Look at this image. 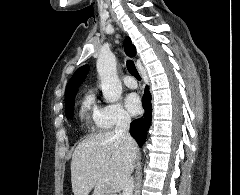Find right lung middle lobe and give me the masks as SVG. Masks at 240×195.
<instances>
[{
    "instance_id": "1",
    "label": "right lung middle lobe",
    "mask_w": 240,
    "mask_h": 195,
    "mask_svg": "<svg viewBox=\"0 0 240 195\" xmlns=\"http://www.w3.org/2000/svg\"><path fill=\"white\" fill-rule=\"evenodd\" d=\"M73 108H74V102H71L68 106L65 107V113L67 118L73 117Z\"/></svg>"
}]
</instances>
